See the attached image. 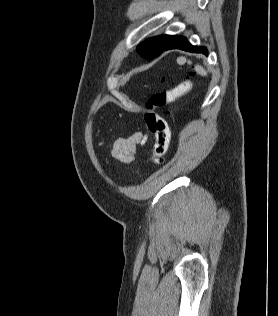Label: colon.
<instances>
[{"instance_id":"colon-1","label":"colon","mask_w":278,"mask_h":316,"mask_svg":"<svg viewBox=\"0 0 278 316\" xmlns=\"http://www.w3.org/2000/svg\"><path fill=\"white\" fill-rule=\"evenodd\" d=\"M191 89V82L185 81L171 89L153 94L147 101V112L144 119L149 131L155 137L151 160L160 163L167 153L170 142V130L165 119L157 114L154 109L162 108L179 97L183 96Z\"/></svg>"}]
</instances>
